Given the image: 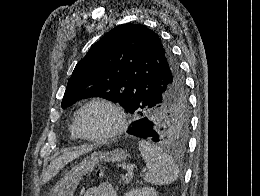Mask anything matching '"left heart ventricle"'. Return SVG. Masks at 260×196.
I'll return each mask as SVG.
<instances>
[{"label":"left heart ventricle","instance_id":"left-heart-ventricle-1","mask_svg":"<svg viewBox=\"0 0 260 196\" xmlns=\"http://www.w3.org/2000/svg\"><path fill=\"white\" fill-rule=\"evenodd\" d=\"M115 112L105 104L96 103L87 107L81 114L79 126L88 136L103 135L117 124Z\"/></svg>","mask_w":260,"mask_h":196}]
</instances>
